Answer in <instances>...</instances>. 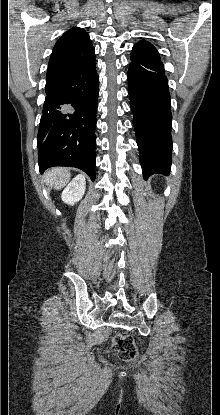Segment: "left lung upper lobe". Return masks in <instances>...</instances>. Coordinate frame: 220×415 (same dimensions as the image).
<instances>
[{"mask_svg":"<svg viewBox=\"0 0 220 415\" xmlns=\"http://www.w3.org/2000/svg\"><path fill=\"white\" fill-rule=\"evenodd\" d=\"M131 57L160 60L157 50L148 41L138 42L132 49Z\"/></svg>","mask_w":220,"mask_h":415,"instance_id":"5c2ea615","label":"left lung upper lobe"}]
</instances>
